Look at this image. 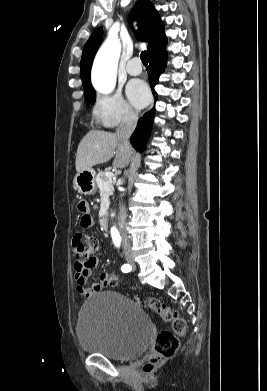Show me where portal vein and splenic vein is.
<instances>
[{
  "instance_id": "portal-vein-and-splenic-vein-1",
  "label": "portal vein and splenic vein",
  "mask_w": 267,
  "mask_h": 391,
  "mask_svg": "<svg viewBox=\"0 0 267 391\" xmlns=\"http://www.w3.org/2000/svg\"><path fill=\"white\" fill-rule=\"evenodd\" d=\"M105 175H106L107 177H111V178L114 176V174H113L112 172H108V173H106Z\"/></svg>"
}]
</instances>
